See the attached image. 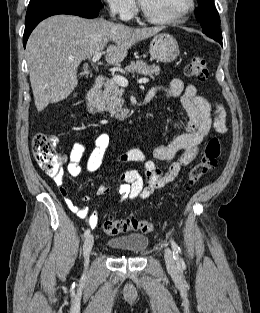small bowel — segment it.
Instances as JSON below:
<instances>
[{
	"instance_id": "c3829d8e",
	"label": "small bowel",
	"mask_w": 260,
	"mask_h": 313,
	"mask_svg": "<svg viewBox=\"0 0 260 313\" xmlns=\"http://www.w3.org/2000/svg\"><path fill=\"white\" fill-rule=\"evenodd\" d=\"M159 92H164L167 98L178 100L186 111L189 122L186 131L175 136L168 143L157 146L151 159L148 155L137 148L126 149L117 155V163H142L143 173L136 171H124L117 177V193L119 202L132 199H147L155 190L171 184L177 179L183 167L192 163L199 151V147L213 127L218 133L227 131L225 111L218 102H211L197 95L196 87L184 85L179 78H174L168 89L154 88L148 97L152 99ZM214 114L212 118L211 115ZM109 146V136L99 133L95 137V148L92 151L86 167L80 164L86 145L82 141L73 144L66 158V170L72 177H79L84 172L97 171L104 159ZM155 160L167 164V170L162 171ZM63 196L66 207L78 218L87 219L91 227H95L98 216L91 213L86 207L77 205L68 195L61 176L55 179ZM109 186L100 185L96 194L103 196L109 192ZM87 199V198H86ZM85 199V200H86Z\"/></svg>"
}]
</instances>
